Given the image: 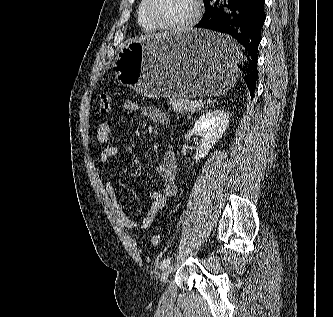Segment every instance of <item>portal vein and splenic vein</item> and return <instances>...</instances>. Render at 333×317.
<instances>
[{
    "mask_svg": "<svg viewBox=\"0 0 333 317\" xmlns=\"http://www.w3.org/2000/svg\"><path fill=\"white\" fill-rule=\"evenodd\" d=\"M191 103L192 104H202V102L200 101V102H198V101H196V100H193V101H191Z\"/></svg>",
    "mask_w": 333,
    "mask_h": 317,
    "instance_id": "obj_1",
    "label": "portal vein and splenic vein"
}]
</instances>
